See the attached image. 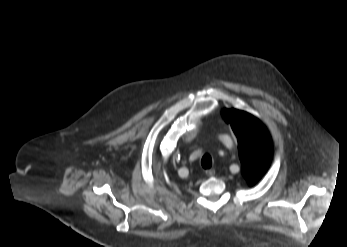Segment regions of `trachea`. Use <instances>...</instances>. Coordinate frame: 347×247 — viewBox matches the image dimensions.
Returning a JSON list of instances; mask_svg holds the SVG:
<instances>
[{
	"label": "trachea",
	"mask_w": 347,
	"mask_h": 247,
	"mask_svg": "<svg viewBox=\"0 0 347 247\" xmlns=\"http://www.w3.org/2000/svg\"><path fill=\"white\" fill-rule=\"evenodd\" d=\"M201 164H202L203 168L209 169L212 166L211 157L208 154L204 155L202 160H201Z\"/></svg>",
	"instance_id": "3493384b"
}]
</instances>
